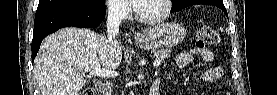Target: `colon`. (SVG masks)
Wrapping results in <instances>:
<instances>
[{
  "label": "colon",
  "instance_id": "colon-1",
  "mask_svg": "<svg viewBox=\"0 0 277 95\" xmlns=\"http://www.w3.org/2000/svg\"><path fill=\"white\" fill-rule=\"evenodd\" d=\"M220 42L219 34L209 26H202L196 30V47L199 49H207L215 46ZM91 89L82 90L79 95H94Z\"/></svg>",
  "mask_w": 277,
  "mask_h": 95
}]
</instances>
